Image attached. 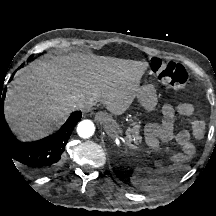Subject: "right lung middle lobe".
Here are the masks:
<instances>
[{"label": "right lung middle lobe", "instance_id": "right-lung-middle-lobe-1", "mask_svg": "<svg viewBox=\"0 0 216 216\" xmlns=\"http://www.w3.org/2000/svg\"><path fill=\"white\" fill-rule=\"evenodd\" d=\"M32 57H33V56H30L29 59H28V61H29Z\"/></svg>", "mask_w": 216, "mask_h": 216}]
</instances>
